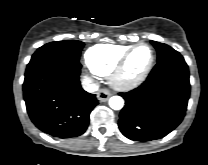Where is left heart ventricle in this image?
Returning <instances> with one entry per match:
<instances>
[{
	"instance_id": "1",
	"label": "left heart ventricle",
	"mask_w": 208,
	"mask_h": 165,
	"mask_svg": "<svg viewBox=\"0 0 208 165\" xmlns=\"http://www.w3.org/2000/svg\"><path fill=\"white\" fill-rule=\"evenodd\" d=\"M150 50L146 47L137 49L130 58L127 65V75L133 77L139 74L148 64L150 60Z\"/></svg>"
}]
</instances>
